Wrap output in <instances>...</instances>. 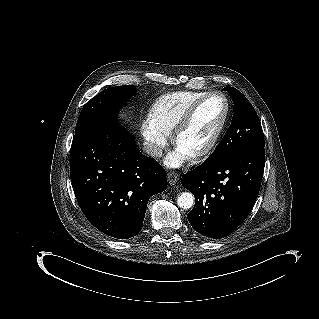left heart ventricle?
Segmentation results:
<instances>
[{"label":"left heart ventricle","mask_w":319,"mask_h":319,"mask_svg":"<svg viewBox=\"0 0 319 319\" xmlns=\"http://www.w3.org/2000/svg\"><path fill=\"white\" fill-rule=\"evenodd\" d=\"M224 111L221 98L213 97L204 101L194 112L179 136V145L186 151H193L210 139L217 128Z\"/></svg>","instance_id":"obj_1"}]
</instances>
